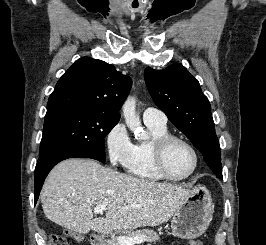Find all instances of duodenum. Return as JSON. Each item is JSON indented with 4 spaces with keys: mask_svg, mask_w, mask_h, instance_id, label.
I'll list each match as a JSON object with an SVG mask.
<instances>
[{
    "mask_svg": "<svg viewBox=\"0 0 266 245\" xmlns=\"http://www.w3.org/2000/svg\"><path fill=\"white\" fill-rule=\"evenodd\" d=\"M91 245H103V243H102L100 238L94 237L93 240H92Z\"/></svg>",
    "mask_w": 266,
    "mask_h": 245,
    "instance_id": "obj_1",
    "label": "duodenum"
}]
</instances>
